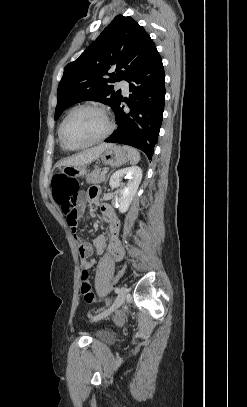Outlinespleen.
I'll return each instance as SVG.
<instances>
[{
	"label": "spleen",
	"mask_w": 247,
	"mask_h": 407,
	"mask_svg": "<svg viewBox=\"0 0 247 407\" xmlns=\"http://www.w3.org/2000/svg\"><path fill=\"white\" fill-rule=\"evenodd\" d=\"M124 149L128 152L129 154V160L131 164H137L140 160V153L136 149L129 147V146H124Z\"/></svg>",
	"instance_id": "3e777b00"
}]
</instances>
